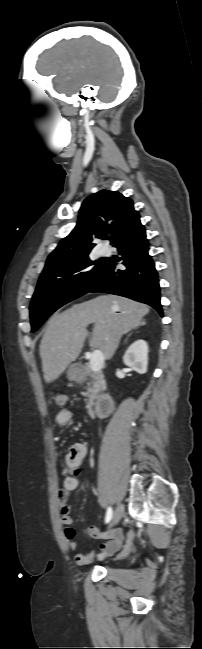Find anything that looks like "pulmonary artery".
<instances>
[{
  "mask_svg": "<svg viewBox=\"0 0 202 649\" xmlns=\"http://www.w3.org/2000/svg\"><path fill=\"white\" fill-rule=\"evenodd\" d=\"M99 253H100L102 256L107 255V254L109 253V249H108V247H106V246H102V247L99 249Z\"/></svg>",
  "mask_w": 202,
  "mask_h": 649,
  "instance_id": "obj_1",
  "label": "pulmonary artery"
}]
</instances>
